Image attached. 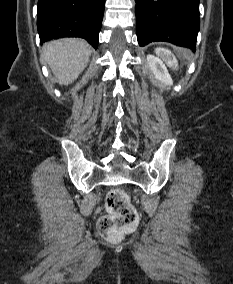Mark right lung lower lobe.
<instances>
[{"label":"right lung lower lobe","instance_id":"right-lung-lower-lobe-1","mask_svg":"<svg viewBox=\"0 0 233 284\" xmlns=\"http://www.w3.org/2000/svg\"><path fill=\"white\" fill-rule=\"evenodd\" d=\"M105 0H38L40 42L81 37L96 49Z\"/></svg>","mask_w":233,"mask_h":284}]
</instances>
